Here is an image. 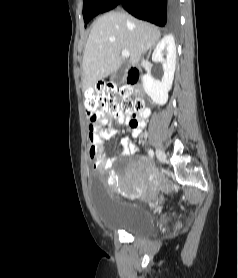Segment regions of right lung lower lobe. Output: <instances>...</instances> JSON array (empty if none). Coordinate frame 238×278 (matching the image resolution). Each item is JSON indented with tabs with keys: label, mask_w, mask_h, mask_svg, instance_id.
<instances>
[{
	"label": "right lung lower lobe",
	"mask_w": 238,
	"mask_h": 278,
	"mask_svg": "<svg viewBox=\"0 0 238 278\" xmlns=\"http://www.w3.org/2000/svg\"><path fill=\"white\" fill-rule=\"evenodd\" d=\"M122 6L136 18L158 26H171L178 20V0H104L95 15Z\"/></svg>",
	"instance_id": "obj_1"
}]
</instances>
